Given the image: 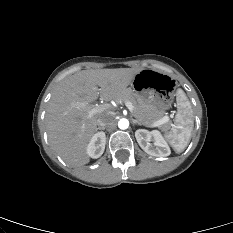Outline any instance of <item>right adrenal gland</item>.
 Returning a JSON list of instances; mask_svg holds the SVG:
<instances>
[{
    "mask_svg": "<svg viewBox=\"0 0 233 233\" xmlns=\"http://www.w3.org/2000/svg\"><path fill=\"white\" fill-rule=\"evenodd\" d=\"M97 130H105V127H98Z\"/></svg>",
    "mask_w": 233,
    "mask_h": 233,
    "instance_id": "obj_1",
    "label": "right adrenal gland"
}]
</instances>
